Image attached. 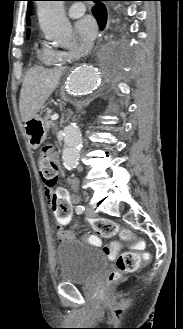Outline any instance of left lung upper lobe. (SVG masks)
I'll list each match as a JSON object with an SVG mask.
<instances>
[{
	"label": "left lung upper lobe",
	"instance_id": "left-lung-upper-lobe-1",
	"mask_svg": "<svg viewBox=\"0 0 183 329\" xmlns=\"http://www.w3.org/2000/svg\"><path fill=\"white\" fill-rule=\"evenodd\" d=\"M34 1V0H28V11H27V16H26V19H27V24L30 25V18L29 16L31 15V11H32V5H31V2ZM30 35V29H27V37H29Z\"/></svg>",
	"mask_w": 183,
	"mask_h": 329
}]
</instances>
